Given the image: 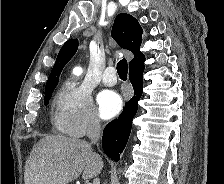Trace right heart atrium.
Wrapping results in <instances>:
<instances>
[{"label":"right heart atrium","mask_w":224,"mask_h":184,"mask_svg":"<svg viewBox=\"0 0 224 184\" xmlns=\"http://www.w3.org/2000/svg\"><path fill=\"white\" fill-rule=\"evenodd\" d=\"M55 123L63 133L83 137L100 128L89 90L81 83H65L56 100Z\"/></svg>","instance_id":"right-heart-atrium-1"}]
</instances>
